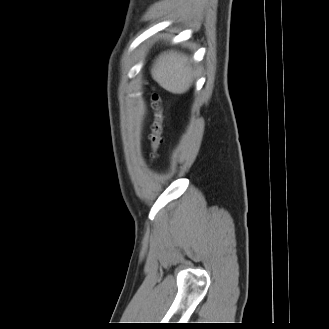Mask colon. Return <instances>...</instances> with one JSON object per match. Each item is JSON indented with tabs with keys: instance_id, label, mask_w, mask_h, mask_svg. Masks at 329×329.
Wrapping results in <instances>:
<instances>
[{
	"instance_id": "5ec220e1",
	"label": "colon",
	"mask_w": 329,
	"mask_h": 329,
	"mask_svg": "<svg viewBox=\"0 0 329 329\" xmlns=\"http://www.w3.org/2000/svg\"><path fill=\"white\" fill-rule=\"evenodd\" d=\"M152 107L155 111V121L152 125V130L149 135L151 149L149 152L150 160L154 163L159 156V148L164 142L163 137V120H164V110H163V102L160 94L155 90L151 95Z\"/></svg>"
}]
</instances>
